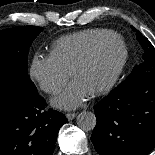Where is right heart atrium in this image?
<instances>
[{
  "instance_id": "d8ad5b80",
  "label": "right heart atrium",
  "mask_w": 155,
  "mask_h": 155,
  "mask_svg": "<svg viewBox=\"0 0 155 155\" xmlns=\"http://www.w3.org/2000/svg\"><path fill=\"white\" fill-rule=\"evenodd\" d=\"M30 74L40 88L48 94L59 93L67 84L71 73L58 64L51 55H35Z\"/></svg>"
}]
</instances>
